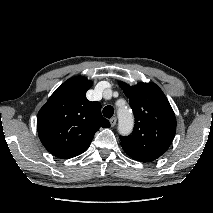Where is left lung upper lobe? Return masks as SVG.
I'll return each instance as SVG.
<instances>
[{"label": "left lung upper lobe", "mask_w": 213, "mask_h": 213, "mask_svg": "<svg viewBox=\"0 0 213 213\" xmlns=\"http://www.w3.org/2000/svg\"><path fill=\"white\" fill-rule=\"evenodd\" d=\"M129 98L135 116L131 135L121 137L125 152L134 156L155 160L172 143L176 133L175 114L162 90L154 83L129 86L119 83Z\"/></svg>", "instance_id": "obj_1"}]
</instances>
